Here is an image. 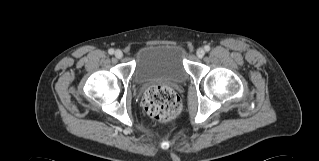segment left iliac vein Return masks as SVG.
<instances>
[{
	"instance_id": "left-iliac-vein-1",
	"label": "left iliac vein",
	"mask_w": 319,
	"mask_h": 161,
	"mask_svg": "<svg viewBox=\"0 0 319 161\" xmlns=\"http://www.w3.org/2000/svg\"><path fill=\"white\" fill-rule=\"evenodd\" d=\"M196 55L198 58H202L205 55V50L203 48L197 49Z\"/></svg>"
}]
</instances>
